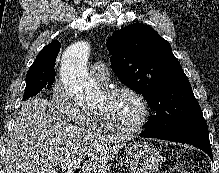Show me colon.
Here are the masks:
<instances>
[{
	"mask_svg": "<svg viewBox=\"0 0 219 173\" xmlns=\"http://www.w3.org/2000/svg\"><path fill=\"white\" fill-rule=\"evenodd\" d=\"M170 173H188V171L184 167H175L171 170Z\"/></svg>",
	"mask_w": 219,
	"mask_h": 173,
	"instance_id": "colon-1",
	"label": "colon"
}]
</instances>
